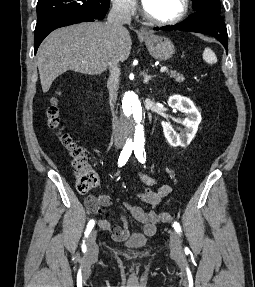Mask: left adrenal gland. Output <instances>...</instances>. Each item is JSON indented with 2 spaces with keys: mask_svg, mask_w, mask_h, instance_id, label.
<instances>
[{
  "mask_svg": "<svg viewBox=\"0 0 255 287\" xmlns=\"http://www.w3.org/2000/svg\"><path fill=\"white\" fill-rule=\"evenodd\" d=\"M153 76H145L144 78V84H148V82H150V80H152Z\"/></svg>",
  "mask_w": 255,
  "mask_h": 287,
  "instance_id": "a2214340",
  "label": "left adrenal gland"
}]
</instances>
